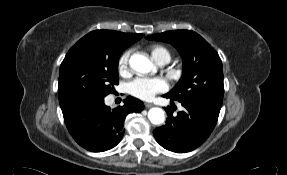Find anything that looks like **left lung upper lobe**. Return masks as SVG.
Instances as JSON below:
<instances>
[{
	"mask_svg": "<svg viewBox=\"0 0 287 175\" xmlns=\"http://www.w3.org/2000/svg\"><path fill=\"white\" fill-rule=\"evenodd\" d=\"M175 46L183 59V75L166 95L173 101L200 105L219 115L223 94V69L218 53L199 34L175 30L147 36Z\"/></svg>",
	"mask_w": 287,
	"mask_h": 175,
	"instance_id": "left-lung-upper-lobe-1",
	"label": "left lung upper lobe"
}]
</instances>
